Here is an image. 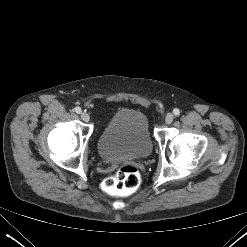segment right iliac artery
<instances>
[{
	"label": "right iliac artery",
	"instance_id": "right-iliac-artery-1",
	"mask_svg": "<svg viewBox=\"0 0 247 247\" xmlns=\"http://www.w3.org/2000/svg\"><path fill=\"white\" fill-rule=\"evenodd\" d=\"M74 110H75V112H76V113H78V114H80V113H81V111H82L80 107H75V109H74Z\"/></svg>",
	"mask_w": 247,
	"mask_h": 247
}]
</instances>
